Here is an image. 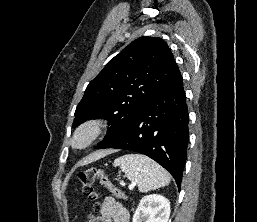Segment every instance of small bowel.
I'll return each mask as SVG.
<instances>
[{
    "label": "small bowel",
    "instance_id": "c3829d8e",
    "mask_svg": "<svg viewBox=\"0 0 257 222\" xmlns=\"http://www.w3.org/2000/svg\"><path fill=\"white\" fill-rule=\"evenodd\" d=\"M128 210L113 197H106L103 201L99 215L86 222H129Z\"/></svg>",
    "mask_w": 257,
    "mask_h": 222
}]
</instances>
